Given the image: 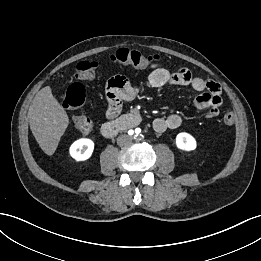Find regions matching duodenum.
Masks as SVG:
<instances>
[{"label":"duodenum","mask_w":261,"mask_h":261,"mask_svg":"<svg viewBox=\"0 0 261 261\" xmlns=\"http://www.w3.org/2000/svg\"><path fill=\"white\" fill-rule=\"evenodd\" d=\"M141 117L137 114H126L115 120L105 122L101 126V133L107 138L116 136L118 133L132 129L140 124Z\"/></svg>","instance_id":"obj_1"}]
</instances>
